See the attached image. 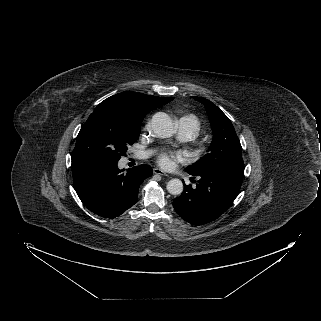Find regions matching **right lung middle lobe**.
Instances as JSON below:
<instances>
[{"mask_svg": "<svg viewBox=\"0 0 321 321\" xmlns=\"http://www.w3.org/2000/svg\"><path fill=\"white\" fill-rule=\"evenodd\" d=\"M144 117L124 107L101 102L82 126L72 153V165L117 163L140 135Z\"/></svg>", "mask_w": 321, "mask_h": 321, "instance_id": "obj_1", "label": "right lung middle lobe"}]
</instances>
